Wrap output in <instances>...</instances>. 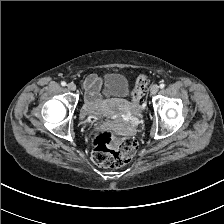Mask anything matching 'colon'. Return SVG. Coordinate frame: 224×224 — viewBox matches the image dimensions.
<instances>
[{
	"mask_svg": "<svg viewBox=\"0 0 224 224\" xmlns=\"http://www.w3.org/2000/svg\"><path fill=\"white\" fill-rule=\"evenodd\" d=\"M147 85V76L139 75L131 93V108L135 114H138L144 106ZM137 149L138 144L133 138L122 137L113 131H100L93 138L91 157L98 166L117 168L130 162Z\"/></svg>",
	"mask_w": 224,
	"mask_h": 224,
	"instance_id": "5ec220e1",
	"label": "colon"
}]
</instances>
